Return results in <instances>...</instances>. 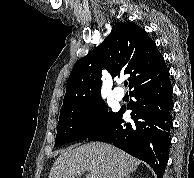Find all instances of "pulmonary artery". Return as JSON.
Here are the masks:
<instances>
[{
    "instance_id": "pulmonary-artery-1",
    "label": "pulmonary artery",
    "mask_w": 194,
    "mask_h": 178,
    "mask_svg": "<svg viewBox=\"0 0 194 178\" xmlns=\"http://www.w3.org/2000/svg\"><path fill=\"white\" fill-rule=\"evenodd\" d=\"M113 97L117 100V101H121L124 97V91L121 88H116L113 93H112Z\"/></svg>"
}]
</instances>
